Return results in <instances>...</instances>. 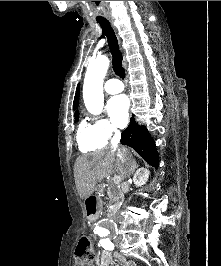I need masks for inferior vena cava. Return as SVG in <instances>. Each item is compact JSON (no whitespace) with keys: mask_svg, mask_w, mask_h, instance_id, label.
I'll use <instances>...</instances> for the list:
<instances>
[{"mask_svg":"<svg viewBox=\"0 0 221 266\" xmlns=\"http://www.w3.org/2000/svg\"><path fill=\"white\" fill-rule=\"evenodd\" d=\"M121 133L119 130H115V135L112 139V149L117 151V155L120 158L121 162L125 166V178L129 177L132 173L134 167H135V161L133 160L132 156L127 152V150L124 147L118 146V143L120 141ZM116 214H119V212H114L113 219H116Z\"/></svg>","mask_w":221,"mask_h":266,"instance_id":"obj_1","label":"inferior vena cava"}]
</instances>
